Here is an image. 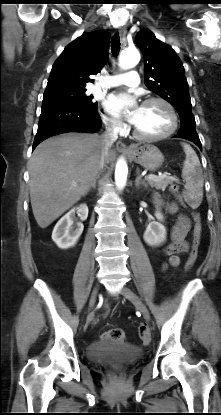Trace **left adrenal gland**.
<instances>
[{
	"instance_id": "obj_1",
	"label": "left adrenal gland",
	"mask_w": 221,
	"mask_h": 415,
	"mask_svg": "<svg viewBox=\"0 0 221 415\" xmlns=\"http://www.w3.org/2000/svg\"><path fill=\"white\" fill-rule=\"evenodd\" d=\"M140 185L141 186H144L145 188H147L146 182L141 179V177H140V171H139V169H137V177L135 179V186L138 188Z\"/></svg>"
}]
</instances>
